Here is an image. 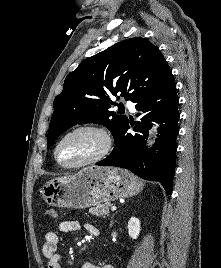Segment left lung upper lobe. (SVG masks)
Returning a JSON list of instances; mask_svg holds the SVG:
<instances>
[{"label":"left lung upper lobe","instance_id":"1","mask_svg":"<svg viewBox=\"0 0 221 268\" xmlns=\"http://www.w3.org/2000/svg\"><path fill=\"white\" fill-rule=\"evenodd\" d=\"M171 77L162 53L141 37L123 40L84 60L66 77L54 100L47 147L64 131L83 123L104 125L115 138L128 118L109 110L115 105L110 98L119 95L135 103Z\"/></svg>","mask_w":221,"mask_h":268}]
</instances>
